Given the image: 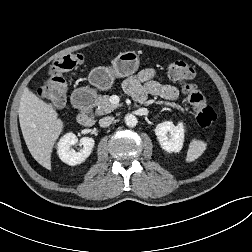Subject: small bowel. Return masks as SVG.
<instances>
[{"label": "small bowel", "mask_w": 252, "mask_h": 252, "mask_svg": "<svg viewBox=\"0 0 252 252\" xmlns=\"http://www.w3.org/2000/svg\"><path fill=\"white\" fill-rule=\"evenodd\" d=\"M124 89L138 102H143L148 95L160 96L165 99H176L179 90L161 81L156 71L144 69L124 82Z\"/></svg>", "instance_id": "c3829d8e"}]
</instances>
